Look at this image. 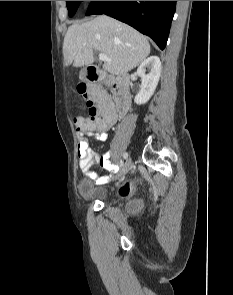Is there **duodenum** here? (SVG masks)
Instances as JSON below:
<instances>
[{
  "label": "duodenum",
  "instance_id": "1",
  "mask_svg": "<svg viewBox=\"0 0 233 295\" xmlns=\"http://www.w3.org/2000/svg\"><path fill=\"white\" fill-rule=\"evenodd\" d=\"M86 77L89 81L95 82L103 79L105 73L97 67H89L86 71ZM115 104L119 114H125L130 108V93L127 88V77L121 75L116 78L114 83Z\"/></svg>",
  "mask_w": 233,
  "mask_h": 295
}]
</instances>
